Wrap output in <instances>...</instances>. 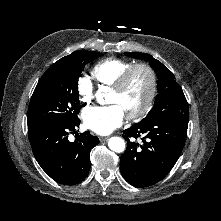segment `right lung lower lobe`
Returning <instances> with one entry per match:
<instances>
[{
  "mask_svg": "<svg viewBox=\"0 0 221 221\" xmlns=\"http://www.w3.org/2000/svg\"><path fill=\"white\" fill-rule=\"evenodd\" d=\"M80 120L56 121L28 127L33 154L41 168L56 182L74 185L89 173L90 151L99 143L88 131L81 133L74 142L68 140L75 133Z\"/></svg>",
  "mask_w": 221,
  "mask_h": 221,
  "instance_id": "obj_1",
  "label": "right lung lower lobe"
}]
</instances>
